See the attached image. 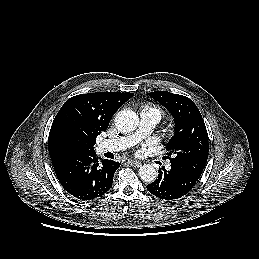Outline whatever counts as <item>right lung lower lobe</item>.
<instances>
[{"mask_svg":"<svg viewBox=\"0 0 259 259\" xmlns=\"http://www.w3.org/2000/svg\"><path fill=\"white\" fill-rule=\"evenodd\" d=\"M54 171L63 188L81 200H90L106 193L120 163L104 159L98 162L95 152L76 154L55 164Z\"/></svg>","mask_w":259,"mask_h":259,"instance_id":"obj_1","label":"right lung lower lobe"}]
</instances>
